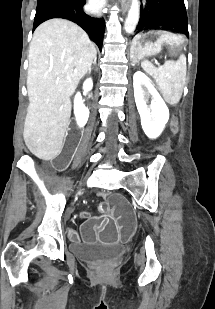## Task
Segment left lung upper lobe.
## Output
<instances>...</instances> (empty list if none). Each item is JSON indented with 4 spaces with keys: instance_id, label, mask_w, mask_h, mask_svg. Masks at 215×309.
<instances>
[{
    "instance_id": "left-lung-upper-lobe-1",
    "label": "left lung upper lobe",
    "mask_w": 215,
    "mask_h": 309,
    "mask_svg": "<svg viewBox=\"0 0 215 309\" xmlns=\"http://www.w3.org/2000/svg\"><path fill=\"white\" fill-rule=\"evenodd\" d=\"M155 28L176 30L189 36L184 0H146L140 9L137 32Z\"/></svg>"
}]
</instances>
